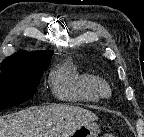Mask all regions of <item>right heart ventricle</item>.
Returning a JSON list of instances; mask_svg holds the SVG:
<instances>
[{"label":"right heart ventricle","instance_id":"e07e8e85","mask_svg":"<svg viewBox=\"0 0 144 137\" xmlns=\"http://www.w3.org/2000/svg\"><path fill=\"white\" fill-rule=\"evenodd\" d=\"M98 78L82 72L72 61H66L50 75V86L53 94L60 100L80 103L95 102L99 99L96 90Z\"/></svg>","mask_w":144,"mask_h":137}]
</instances>
